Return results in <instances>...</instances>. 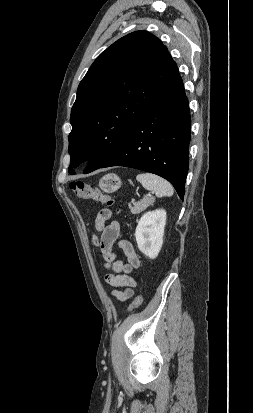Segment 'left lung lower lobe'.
I'll use <instances>...</instances> for the list:
<instances>
[{
	"mask_svg": "<svg viewBox=\"0 0 253 413\" xmlns=\"http://www.w3.org/2000/svg\"><path fill=\"white\" fill-rule=\"evenodd\" d=\"M191 118L178 68L134 125L122 145L99 168L131 167L157 174L184 198Z\"/></svg>",
	"mask_w": 253,
	"mask_h": 413,
	"instance_id": "0a47b994",
	"label": "left lung lower lobe"
}]
</instances>
